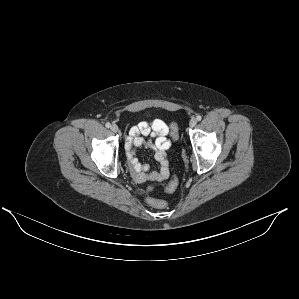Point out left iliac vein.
<instances>
[{"mask_svg":"<svg viewBox=\"0 0 299 299\" xmlns=\"http://www.w3.org/2000/svg\"><path fill=\"white\" fill-rule=\"evenodd\" d=\"M197 124V120L195 118H192L189 122L190 127H195Z\"/></svg>","mask_w":299,"mask_h":299,"instance_id":"left-iliac-vein-1","label":"left iliac vein"}]
</instances>
